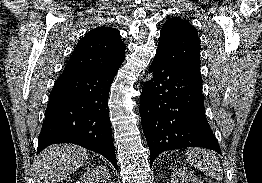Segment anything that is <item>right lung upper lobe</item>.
<instances>
[{
  "mask_svg": "<svg viewBox=\"0 0 262 183\" xmlns=\"http://www.w3.org/2000/svg\"><path fill=\"white\" fill-rule=\"evenodd\" d=\"M125 49L118 30L97 27L77 43L63 73L118 69L125 59Z\"/></svg>",
  "mask_w": 262,
  "mask_h": 183,
  "instance_id": "cb5924a9",
  "label": "right lung upper lobe"
}]
</instances>
